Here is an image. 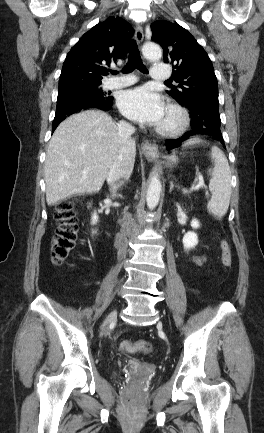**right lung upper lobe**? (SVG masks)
Here are the masks:
<instances>
[{
	"instance_id": "1",
	"label": "right lung upper lobe",
	"mask_w": 264,
	"mask_h": 433,
	"mask_svg": "<svg viewBox=\"0 0 264 433\" xmlns=\"http://www.w3.org/2000/svg\"><path fill=\"white\" fill-rule=\"evenodd\" d=\"M133 34L131 25L122 18L111 16L85 33L68 53L59 80V89L75 85L101 84L106 75L105 64L127 54Z\"/></svg>"
}]
</instances>
